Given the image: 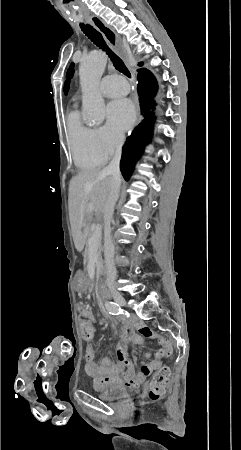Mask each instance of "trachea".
<instances>
[{"instance_id": "obj_1", "label": "trachea", "mask_w": 241, "mask_h": 450, "mask_svg": "<svg viewBox=\"0 0 241 450\" xmlns=\"http://www.w3.org/2000/svg\"><path fill=\"white\" fill-rule=\"evenodd\" d=\"M80 27H81V30L83 31V33H85L86 37H88L89 40H91V42H93L95 45H97V47L101 48L103 51H105L107 53V55L113 62V65L116 68V70L123 73V75H126V77L131 78V73L128 70V68L126 67L123 60H121V58L118 57V55H116L108 47V45L106 44L105 40L103 39V36L101 35V33L98 32L97 30H95V28H93L91 25H88V24H86V25L80 24Z\"/></svg>"}]
</instances>
